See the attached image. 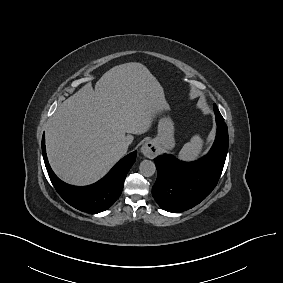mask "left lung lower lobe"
<instances>
[{
	"label": "left lung lower lobe",
	"instance_id": "left-lung-lower-lobe-1",
	"mask_svg": "<svg viewBox=\"0 0 283 283\" xmlns=\"http://www.w3.org/2000/svg\"><path fill=\"white\" fill-rule=\"evenodd\" d=\"M215 115L216 139L206 156L189 163L172 155L154 159L158 175L152 195L162 209L172 213L191 209L217 185L228 151V129L219 110L215 111Z\"/></svg>",
	"mask_w": 283,
	"mask_h": 283
}]
</instances>
